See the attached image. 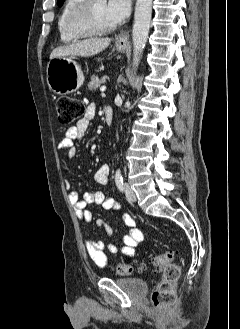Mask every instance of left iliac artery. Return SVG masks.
<instances>
[{
  "label": "left iliac artery",
  "mask_w": 240,
  "mask_h": 329,
  "mask_svg": "<svg viewBox=\"0 0 240 329\" xmlns=\"http://www.w3.org/2000/svg\"><path fill=\"white\" fill-rule=\"evenodd\" d=\"M115 182H116V185L118 187V189L120 191H123V176H122V172L120 169H117L116 170V173H115Z\"/></svg>",
  "instance_id": "obj_1"
}]
</instances>
